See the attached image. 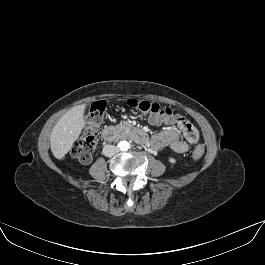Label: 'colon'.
Listing matches in <instances>:
<instances>
[{
    "label": "colon",
    "instance_id": "colon-1",
    "mask_svg": "<svg viewBox=\"0 0 265 265\" xmlns=\"http://www.w3.org/2000/svg\"><path fill=\"white\" fill-rule=\"evenodd\" d=\"M128 105L134 107L144 114L158 118L177 117L173 111L167 107H161L157 103L146 100H128ZM106 105L103 101L94 102L85 117L86 134L79 139L71 150V155L82 163L91 161L97 147V130L103 120ZM204 150L202 147H196L192 151V157L199 159L202 157Z\"/></svg>",
    "mask_w": 265,
    "mask_h": 265
}]
</instances>
